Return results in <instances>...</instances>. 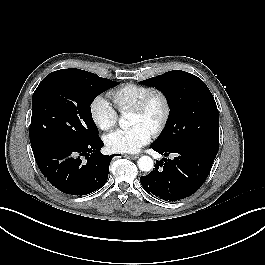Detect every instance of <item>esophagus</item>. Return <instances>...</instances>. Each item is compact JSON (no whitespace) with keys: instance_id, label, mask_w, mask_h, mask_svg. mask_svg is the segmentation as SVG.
<instances>
[{"instance_id":"34e87169","label":"esophagus","mask_w":265,"mask_h":265,"mask_svg":"<svg viewBox=\"0 0 265 265\" xmlns=\"http://www.w3.org/2000/svg\"><path fill=\"white\" fill-rule=\"evenodd\" d=\"M128 158L137 159L139 155H126Z\"/></svg>"}]
</instances>
